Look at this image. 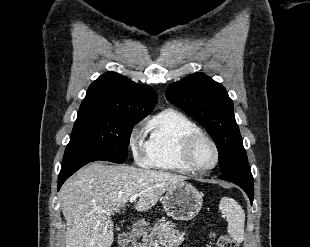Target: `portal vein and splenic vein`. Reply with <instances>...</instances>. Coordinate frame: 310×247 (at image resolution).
<instances>
[{
  "label": "portal vein and splenic vein",
  "instance_id": "obj_1",
  "mask_svg": "<svg viewBox=\"0 0 310 247\" xmlns=\"http://www.w3.org/2000/svg\"><path fill=\"white\" fill-rule=\"evenodd\" d=\"M139 197V194H135V195H132L130 198H129V201L131 203L135 202L136 199ZM101 213H105L106 215L110 216V212H107V211H101ZM154 247H159L158 244H153Z\"/></svg>",
  "mask_w": 310,
  "mask_h": 247
}]
</instances>
